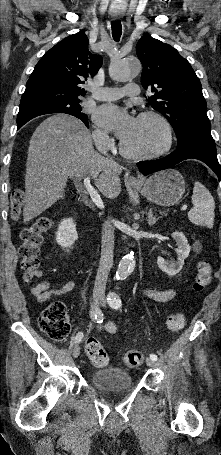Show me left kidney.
<instances>
[{
    "mask_svg": "<svg viewBox=\"0 0 221 455\" xmlns=\"http://www.w3.org/2000/svg\"><path fill=\"white\" fill-rule=\"evenodd\" d=\"M172 238L176 241L178 246L176 249V253L178 255L177 261L168 262L161 256L157 258L158 267L170 276H174L181 271L184 265V260L189 256L191 250V247L182 232H173Z\"/></svg>",
    "mask_w": 221,
    "mask_h": 455,
    "instance_id": "1",
    "label": "left kidney"
}]
</instances>
